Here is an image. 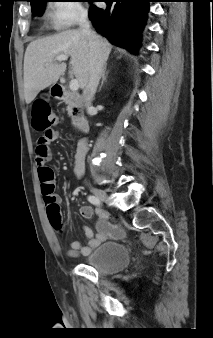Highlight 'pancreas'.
Here are the masks:
<instances>
[{"label":"pancreas","mask_w":213,"mask_h":338,"mask_svg":"<svg viewBox=\"0 0 213 338\" xmlns=\"http://www.w3.org/2000/svg\"><path fill=\"white\" fill-rule=\"evenodd\" d=\"M68 111H69V112L71 111V108H70V106H68Z\"/></svg>","instance_id":"obj_1"}]
</instances>
